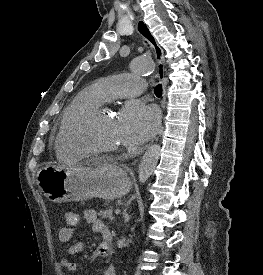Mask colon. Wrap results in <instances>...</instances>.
I'll return each instance as SVG.
<instances>
[{"label": "colon", "mask_w": 263, "mask_h": 275, "mask_svg": "<svg viewBox=\"0 0 263 275\" xmlns=\"http://www.w3.org/2000/svg\"><path fill=\"white\" fill-rule=\"evenodd\" d=\"M64 221L69 226H76L79 222V217L74 211H66L63 215Z\"/></svg>", "instance_id": "obj_1"}]
</instances>
